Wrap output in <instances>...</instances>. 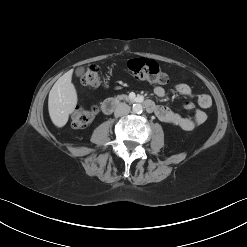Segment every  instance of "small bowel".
<instances>
[{
    "mask_svg": "<svg viewBox=\"0 0 247 247\" xmlns=\"http://www.w3.org/2000/svg\"><path fill=\"white\" fill-rule=\"evenodd\" d=\"M176 91L183 96H193V90L186 83H179L175 86ZM157 97H164L166 91L163 87L157 86L154 89ZM198 105L203 108H209L212 104V99L208 94H200L197 97ZM155 115L163 122L177 126L185 131L193 130L196 126L201 125L206 120V114L202 110H197L193 117H184L169 109L166 106L155 105L153 111Z\"/></svg>",
    "mask_w": 247,
    "mask_h": 247,
    "instance_id": "1",
    "label": "small bowel"
}]
</instances>
